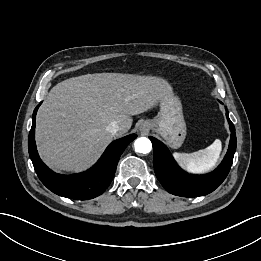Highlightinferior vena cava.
I'll use <instances>...</instances> for the list:
<instances>
[{
	"label": "inferior vena cava",
	"instance_id": "obj_1",
	"mask_svg": "<svg viewBox=\"0 0 261 261\" xmlns=\"http://www.w3.org/2000/svg\"><path fill=\"white\" fill-rule=\"evenodd\" d=\"M106 130L112 134V135H115L119 130H120V127L119 125L117 124L116 121H112L106 128Z\"/></svg>",
	"mask_w": 261,
	"mask_h": 261
}]
</instances>
